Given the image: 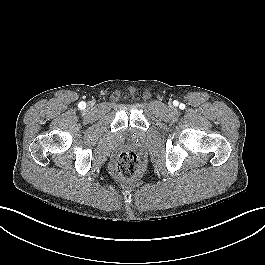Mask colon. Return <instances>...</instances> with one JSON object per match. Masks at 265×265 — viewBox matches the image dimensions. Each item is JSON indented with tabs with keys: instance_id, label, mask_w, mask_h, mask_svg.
I'll list each match as a JSON object with an SVG mask.
<instances>
[{
	"instance_id": "1",
	"label": "colon",
	"mask_w": 265,
	"mask_h": 265,
	"mask_svg": "<svg viewBox=\"0 0 265 265\" xmlns=\"http://www.w3.org/2000/svg\"><path fill=\"white\" fill-rule=\"evenodd\" d=\"M139 170L138 157L132 151L121 152L112 164L113 175L121 180H130L136 177Z\"/></svg>"
}]
</instances>
